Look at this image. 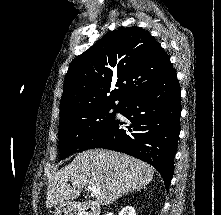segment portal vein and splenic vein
Here are the masks:
<instances>
[{"label": "portal vein and splenic vein", "mask_w": 221, "mask_h": 215, "mask_svg": "<svg viewBox=\"0 0 221 215\" xmlns=\"http://www.w3.org/2000/svg\"><path fill=\"white\" fill-rule=\"evenodd\" d=\"M88 190H90L91 193L94 194V195H97V194L100 193V190H99V189L93 188V187H91V186H88Z\"/></svg>", "instance_id": "portal-vein-and-splenic-vein-1"}]
</instances>
